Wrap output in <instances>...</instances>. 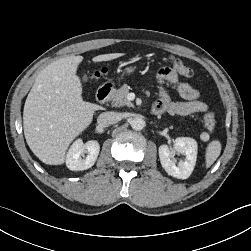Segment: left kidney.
Segmentation results:
<instances>
[{"instance_id": "5707ae66", "label": "left kidney", "mask_w": 251, "mask_h": 251, "mask_svg": "<svg viewBox=\"0 0 251 251\" xmlns=\"http://www.w3.org/2000/svg\"><path fill=\"white\" fill-rule=\"evenodd\" d=\"M197 142L190 137H178L174 141L173 149L185 155V160L179 161L176 165L174 151L163 144L159 147V158L164 170L171 176L178 179H187L195 166L197 159Z\"/></svg>"}]
</instances>
